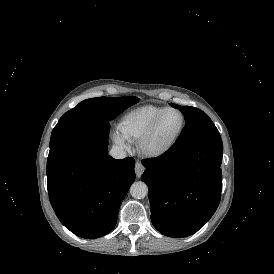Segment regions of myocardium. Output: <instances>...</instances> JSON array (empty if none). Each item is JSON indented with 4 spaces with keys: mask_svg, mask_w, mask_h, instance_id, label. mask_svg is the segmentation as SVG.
<instances>
[{
    "mask_svg": "<svg viewBox=\"0 0 274 274\" xmlns=\"http://www.w3.org/2000/svg\"><path fill=\"white\" fill-rule=\"evenodd\" d=\"M170 111H177L181 114L182 125L180 127V130L178 131V133L173 137V139L170 141V143L164 149L157 151V152L148 150L146 147V143H147L148 139L154 134V132L156 131V129H157L159 123L161 122V120L163 119V117ZM186 125H187V117L182 109H180L178 107L165 108L158 115V117L148 126V128L142 133V135L137 140L138 153L142 157L149 159V160H158V159L165 157L172 151V149L174 148V146L176 145V143L182 136V134L186 128Z\"/></svg>",
    "mask_w": 274,
    "mask_h": 274,
    "instance_id": "f54148a6",
    "label": "myocardium"
}]
</instances>
